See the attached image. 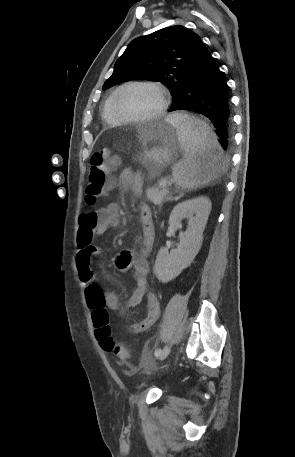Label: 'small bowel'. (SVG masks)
Instances as JSON below:
<instances>
[{"label": "small bowel", "instance_id": "1", "mask_svg": "<svg viewBox=\"0 0 295 457\" xmlns=\"http://www.w3.org/2000/svg\"><path fill=\"white\" fill-rule=\"evenodd\" d=\"M118 184L122 191L130 192L134 196H139L142 193L143 183L141 177L129 169H124L120 173ZM139 218L142 224L140 248L138 250H123L114 257L113 261L117 270L127 271L132 269L134 272L135 288L130 297L129 306L136 307L144 296L147 297V314L143 320L130 326V331L133 333H142L149 330L160 315L159 299L156 294L150 291L147 282V256L153 247L155 238L152 214L147 204L143 203L139 206ZM119 222V208L115 203L81 214L77 236L78 252L76 254V269L81 282L85 285L88 305V290L95 287L99 291L95 299L101 300L105 306L115 311L120 309L119 298L114 292L103 289L98 284L92 268V262L100 253V247L94 244V240L108 229L116 228Z\"/></svg>", "mask_w": 295, "mask_h": 457}]
</instances>
